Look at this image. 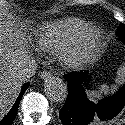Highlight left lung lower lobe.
<instances>
[{"instance_id": "1", "label": "left lung lower lobe", "mask_w": 125, "mask_h": 125, "mask_svg": "<svg viewBox=\"0 0 125 125\" xmlns=\"http://www.w3.org/2000/svg\"><path fill=\"white\" fill-rule=\"evenodd\" d=\"M64 78L68 82V95L59 112L64 125H100L115 117L125 105V85L115 95L93 103L84 91L86 72H72Z\"/></svg>"}]
</instances>
